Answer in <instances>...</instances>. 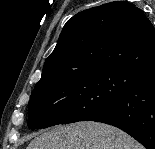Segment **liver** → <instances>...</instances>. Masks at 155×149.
<instances>
[{
    "instance_id": "6515ba94",
    "label": "liver",
    "mask_w": 155,
    "mask_h": 149,
    "mask_svg": "<svg viewBox=\"0 0 155 149\" xmlns=\"http://www.w3.org/2000/svg\"><path fill=\"white\" fill-rule=\"evenodd\" d=\"M26 149H144L124 131L93 121L56 126L36 136Z\"/></svg>"
}]
</instances>
